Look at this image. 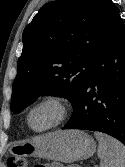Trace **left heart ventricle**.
<instances>
[{
	"mask_svg": "<svg viewBox=\"0 0 125 167\" xmlns=\"http://www.w3.org/2000/svg\"><path fill=\"white\" fill-rule=\"evenodd\" d=\"M55 110L51 106H44L34 112L32 116V125L35 128H41L48 125L54 118Z\"/></svg>",
	"mask_w": 125,
	"mask_h": 167,
	"instance_id": "left-heart-ventricle-1",
	"label": "left heart ventricle"
}]
</instances>
